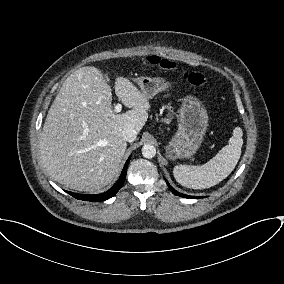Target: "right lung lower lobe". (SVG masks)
I'll use <instances>...</instances> for the list:
<instances>
[{"mask_svg":"<svg viewBox=\"0 0 284 284\" xmlns=\"http://www.w3.org/2000/svg\"><path fill=\"white\" fill-rule=\"evenodd\" d=\"M129 160H130V157L126 161L125 166L122 170V173H121L118 181L108 191H106L102 194H95V195H83V194H77V193L68 192V191H67V193L70 194L71 196H73L76 199L84 200V201H91V202L105 201V200L113 197L124 184Z\"/></svg>","mask_w":284,"mask_h":284,"instance_id":"1","label":"right lung lower lobe"}]
</instances>
